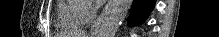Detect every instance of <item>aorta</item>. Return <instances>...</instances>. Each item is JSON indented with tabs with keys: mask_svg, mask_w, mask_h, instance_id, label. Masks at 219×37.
Returning <instances> with one entry per match:
<instances>
[{
	"mask_svg": "<svg viewBox=\"0 0 219 37\" xmlns=\"http://www.w3.org/2000/svg\"><path fill=\"white\" fill-rule=\"evenodd\" d=\"M131 5L132 0H113L106 16L102 20L98 37H115Z\"/></svg>",
	"mask_w": 219,
	"mask_h": 37,
	"instance_id": "1",
	"label": "aorta"
}]
</instances>
